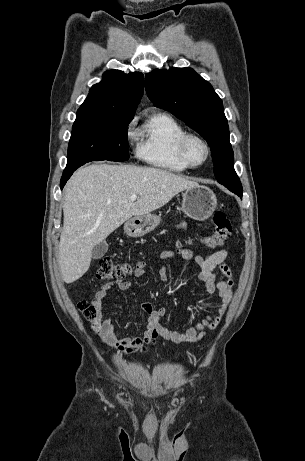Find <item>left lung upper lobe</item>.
Returning a JSON list of instances; mask_svg holds the SVG:
<instances>
[{
  "label": "left lung upper lobe",
  "instance_id": "5c2ea615",
  "mask_svg": "<svg viewBox=\"0 0 305 461\" xmlns=\"http://www.w3.org/2000/svg\"><path fill=\"white\" fill-rule=\"evenodd\" d=\"M145 89L156 107L171 112L207 141L217 181L242 197L222 100L210 83L191 68L155 69L146 74Z\"/></svg>",
  "mask_w": 305,
  "mask_h": 461
}]
</instances>
